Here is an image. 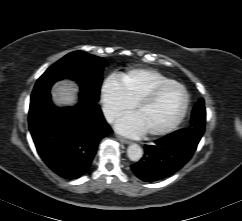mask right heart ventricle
<instances>
[{
    "mask_svg": "<svg viewBox=\"0 0 242 221\" xmlns=\"http://www.w3.org/2000/svg\"><path fill=\"white\" fill-rule=\"evenodd\" d=\"M116 80L133 105L154 86L171 81L169 77L162 73L146 68L132 69L126 73L119 74Z\"/></svg>",
    "mask_w": 242,
    "mask_h": 221,
    "instance_id": "obj_1",
    "label": "right heart ventricle"
}]
</instances>
